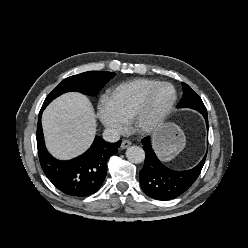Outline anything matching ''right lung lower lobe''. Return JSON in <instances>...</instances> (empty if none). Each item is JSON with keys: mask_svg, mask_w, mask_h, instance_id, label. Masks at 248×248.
<instances>
[{"mask_svg": "<svg viewBox=\"0 0 248 248\" xmlns=\"http://www.w3.org/2000/svg\"><path fill=\"white\" fill-rule=\"evenodd\" d=\"M42 106L37 125V147L41 167L60 191L71 196H88L102 185L107 173L108 158L117 153L121 141L108 143L101 137H95L91 147L78 158L60 161L52 157L45 147L41 126Z\"/></svg>", "mask_w": 248, "mask_h": 248, "instance_id": "right-lung-lower-lobe-1", "label": "right lung lower lobe"}]
</instances>
